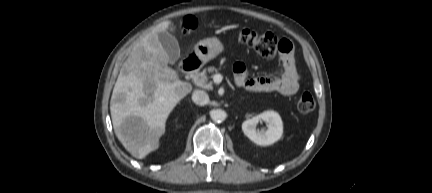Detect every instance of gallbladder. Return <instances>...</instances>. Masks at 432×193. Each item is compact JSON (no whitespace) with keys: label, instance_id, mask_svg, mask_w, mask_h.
I'll return each mask as SVG.
<instances>
[{"label":"gallbladder","instance_id":"bac80fb5","mask_svg":"<svg viewBox=\"0 0 432 193\" xmlns=\"http://www.w3.org/2000/svg\"><path fill=\"white\" fill-rule=\"evenodd\" d=\"M158 39L168 54V62L174 64L180 58V47L177 39L167 31H159Z\"/></svg>","mask_w":432,"mask_h":193}]
</instances>
